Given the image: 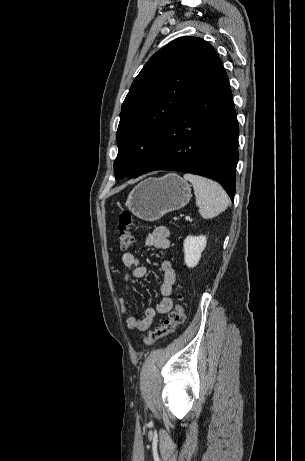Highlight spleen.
<instances>
[{
    "instance_id": "3e777b00",
    "label": "spleen",
    "mask_w": 305,
    "mask_h": 461,
    "mask_svg": "<svg viewBox=\"0 0 305 461\" xmlns=\"http://www.w3.org/2000/svg\"><path fill=\"white\" fill-rule=\"evenodd\" d=\"M184 179L193 185L196 205L202 218L212 219L228 207V195L217 182L194 174H185Z\"/></svg>"
}]
</instances>
